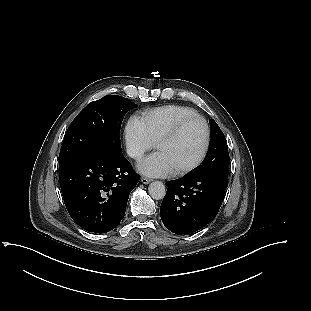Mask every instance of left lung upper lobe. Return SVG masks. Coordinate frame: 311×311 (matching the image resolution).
Returning a JSON list of instances; mask_svg holds the SVG:
<instances>
[{"label": "left lung upper lobe", "mask_w": 311, "mask_h": 311, "mask_svg": "<svg viewBox=\"0 0 311 311\" xmlns=\"http://www.w3.org/2000/svg\"><path fill=\"white\" fill-rule=\"evenodd\" d=\"M210 123V146L206 159L202 165L192 174H215L222 178H228L229 154L227 141L217 123L209 120Z\"/></svg>", "instance_id": "obj_1"}]
</instances>
